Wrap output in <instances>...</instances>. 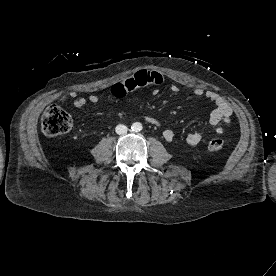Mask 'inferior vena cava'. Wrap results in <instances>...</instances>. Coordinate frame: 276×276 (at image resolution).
Here are the masks:
<instances>
[{
  "label": "inferior vena cava",
  "instance_id": "1",
  "mask_svg": "<svg viewBox=\"0 0 276 276\" xmlns=\"http://www.w3.org/2000/svg\"><path fill=\"white\" fill-rule=\"evenodd\" d=\"M115 131L118 135H124L127 133L128 128H127V126H125L123 124H119L116 126Z\"/></svg>",
  "mask_w": 276,
  "mask_h": 276
}]
</instances>
